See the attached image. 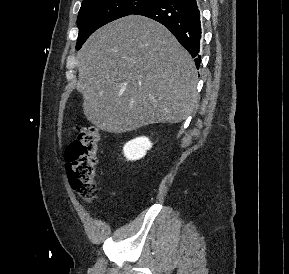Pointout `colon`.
I'll list each match as a JSON object with an SVG mask.
<instances>
[{
    "instance_id": "5ec220e1",
    "label": "colon",
    "mask_w": 289,
    "mask_h": 274,
    "mask_svg": "<svg viewBox=\"0 0 289 274\" xmlns=\"http://www.w3.org/2000/svg\"><path fill=\"white\" fill-rule=\"evenodd\" d=\"M99 139L96 127H81L77 138L66 149V168L71 185L86 202L93 201L97 195L95 173Z\"/></svg>"
}]
</instances>
